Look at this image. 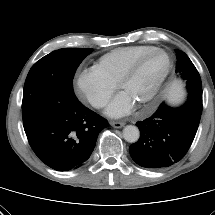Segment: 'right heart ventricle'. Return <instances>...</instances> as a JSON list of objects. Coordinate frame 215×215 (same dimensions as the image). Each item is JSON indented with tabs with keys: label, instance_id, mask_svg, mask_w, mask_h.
<instances>
[{
	"label": "right heart ventricle",
	"instance_id": "1",
	"mask_svg": "<svg viewBox=\"0 0 215 215\" xmlns=\"http://www.w3.org/2000/svg\"><path fill=\"white\" fill-rule=\"evenodd\" d=\"M154 48L146 45L116 48L101 56L94 67L110 82L117 85L127 68L138 57Z\"/></svg>",
	"mask_w": 215,
	"mask_h": 215
}]
</instances>
